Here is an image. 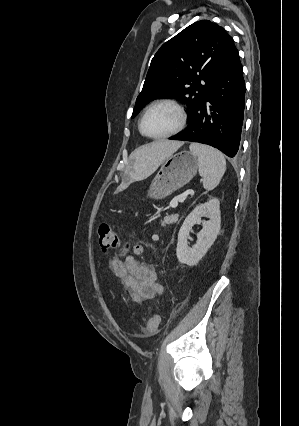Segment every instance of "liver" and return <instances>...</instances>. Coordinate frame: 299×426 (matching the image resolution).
<instances>
[{"label": "liver", "instance_id": "obj_1", "mask_svg": "<svg viewBox=\"0 0 299 426\" xmlns=\"http://www.w3.org/2000/svg\"><path fill=\"white\" fill-rule=\"evenodd\" d=\"M183 145L181 141L159 140L136 149L133 160V176L144 178L151 175L157 168Z\"/></svg>", "mask_w": 299, "mask_h": 426}]
</instances>
